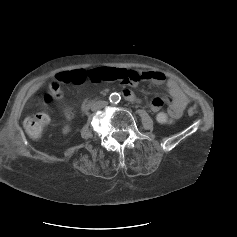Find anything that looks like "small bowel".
<instances>
[{
  "mask_svg": "<svg viewBox=\"0 0 237 237\" xmlns=\"http://www.w3.org/2000/svg\"><path fill=\"white\" fill-rule=\"evenodd\" d=\"M138 73L141 80H149L157 85L163 84L166 81L165 75L161 72L145 70L139 71ZM166 86L168 89V96H157L153 98L150 103V108L153 112L157 113L166 103L168 105V112L171 116L173 118H179L182 116L188 104V99L174 81L168 80ZM66 116L67 118H70L72 116L71 112L68 111Z\"/></svg>",
  "mask_w": 237,
  "mask_h": 237,
  "instance_id": "obj_1",
  "label": "small bowel"
}]
</instances>
